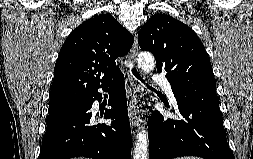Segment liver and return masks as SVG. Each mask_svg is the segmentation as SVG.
Wrapping results in <instances>:
<instances>
[{"label":"liver","instance_id":"obj_1","mask_svg":"<svg viewBox=\"0 0 253 159\" xmlns=\"http://www.w3.org/2000/svg\"><path fill=\"white\" fill-rule=\"evenodd\" d=\"M74 159H87V158L79 157V158H74Z\"/></svg>","mask_w":253,"mask_h":159}]
</instances>
